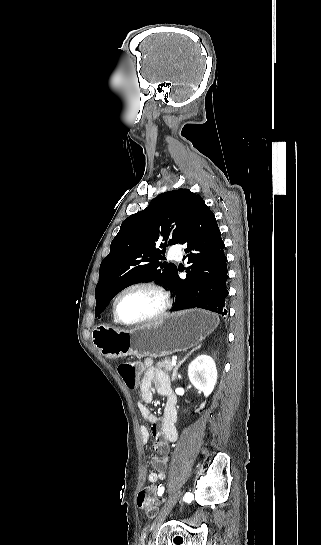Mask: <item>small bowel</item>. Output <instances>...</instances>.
Returning a JSON list of instances; mask_svg holds the SVG:
<instances>
[{
	"mask_svg": "<svg viewBox=\"0 0 321 545\" xmlns=\"http://www.w3.org/2000/svg\"><path fill=\"white\" fill-rule=\"evenodd\" d=\"M143 377L140 382L141 400L138 408L143 418L151 424L150 430L147 427H140V437L143 444H147L152 435L153 449L158 456L152 458L155 471L149 474V481L155 483L166 477V468L170 459L169 443L175 442L178 438L176 428L177 410L176 397L172 391L169 377L160 368L155 367L151 359L142 363ZM156 385L158 394L166 397L167 402L164 414L161 419L154 415L148 408L153 400V385Z\"/></svg>",
	"mask_w": 321,
	"mask_h": 545,
	"instance_id": "c3829d8e",
	"label": "small bowel"
}]
</instances>
